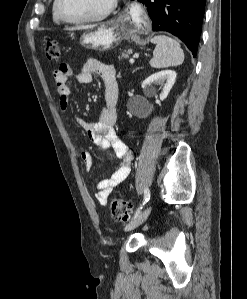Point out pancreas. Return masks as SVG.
<instances>
[{"mask_svg":"<svg viewBox=\"0 0 247 299\" xmlns=\"http://www.w3.org/2000/svg\"><path fill=\"white\" fill-rule=\"evenodd\" d=\"M121 57H124V58H126L127 57V54H125V53H122V56ZM119 59H120V57H119Z\"/></svg>","mask_w":247,"mask_h":299,"instance_id":"cf45deb5","label":"pancreas"}]
</instances>
